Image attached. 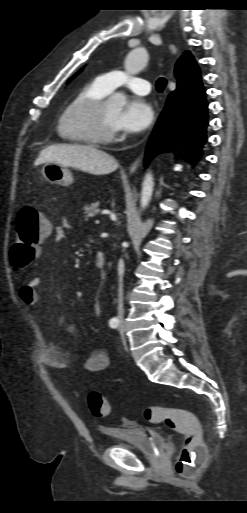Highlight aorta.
<instances>
[{"instance_id": "obj_1", "label": "aorta", "mask_w": 247, "mask_h": 513, "mask_svg": "<svg viewBox=\"0 0 247 513\" xmlns=\"http://www.w3.org/2000/svg\"><path fill=\"white\" fill-rule=\"evenodd\" d=\"M148 62V53L145 48H136L129 52L125 59V70L129 74H137L144 69ZM111 106L122 109L126 103V98L121 93H115L109 99ZM154 188V177L151 172L147 173L141 190V206L146 208L151 200Z\"/></svg>"}]
</instances>
